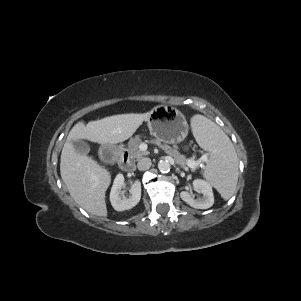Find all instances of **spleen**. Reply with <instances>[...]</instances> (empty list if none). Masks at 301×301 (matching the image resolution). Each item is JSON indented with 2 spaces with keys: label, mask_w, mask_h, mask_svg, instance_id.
Masks as SVG:
<instances>
[{
  "label": "spleen",
  "mask_w": 301,
  "mask_h": 301,
  "mask_svg": "<svg viewBox=\"0 0 301 301\" xmlns=\"http://www.w3.org/2000/svg\"><path fill=\"white\" fill-rule=\"evenodd\" d=\"M191 127L199 145L209 152L204 178L228 200L238 182V159L231 140L217 124L202 115L191 119Z\"/></svg>",
  "instance_id": "1"
}]
</instances>
